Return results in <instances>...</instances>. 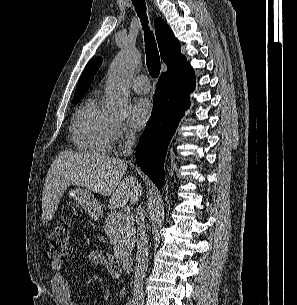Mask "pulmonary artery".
<instances>
[{
	"mask_svg": "<svg viewBox=\"0 0 297 305\" xmlns=\"http://www.w3.org/2000/svg\"><path fill=\"white\" fill-rule=\"evenodd\" d=\"M131 87L134 91L142 94L148 93L150 91L149 81L145 75L136 76L131 81Z\"/></svg>",
	"mask_w": 297,
	"mask_h": 305,
	"instance_id": "pulmonary-artery-1",
	"label": "pulmonary artery"
}]
</instances>
